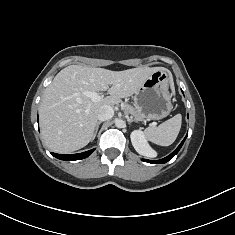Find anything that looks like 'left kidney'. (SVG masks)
<instances>
[{
  "label": "left kidney",
  "instance_id": "obj_1",
  "mask_svg": "<svg viewBox=\"0 0 235 235\" xmlns=\"http://www.w3.org/2000/svg\"><path fill=\"white\" fill-rule=\"evenodd\" d=\"M131 142L134 149L143 156L156 157V152L149 146L144 133L140 130H134L131 135Z\"/></svg>",
  "mask_w": 235,
  "mask_h": 235
}]
</instances>
